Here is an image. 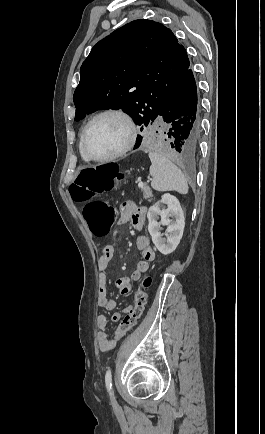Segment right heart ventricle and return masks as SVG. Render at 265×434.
I'll return each instance as SVG.
<instances>
[{
  "instance_id": "obj_1",
  "label": "right heart ventricle",
  "mask_w": 265,
  "mask_h": 434,
  "mask_svg": "<svg viewBox=\"0 0 265 434\" xmlns=\"http://www.w3.org/2000/svg\"><path fill=\"white\" fill-rule=\"evenodd\" d=\"M82 133H83V130H82V132H81V134H80V137H81ZM79 140H80V138H79ZM78 151H79V143H78ZM79 155H80V158H81V160H82L83 163H86V164L89 163L88 161H86V160L81 156L80 151H79Z\"/></svg>"
}]
</instances>
